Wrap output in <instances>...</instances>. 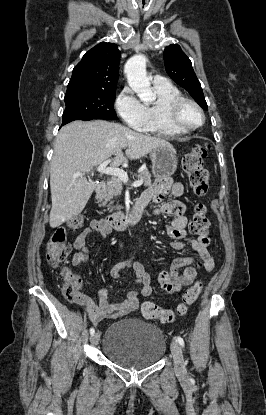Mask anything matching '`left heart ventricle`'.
Segmentation results:
<instances>
[{
	"instance_id": "left-heart-ventricle-1",
	"label": "left heart ventricle",
	"mask_w": 266,
	"mask_h": 415,
	"mask_svg": "<svg viewBox=\"0 0 266 415\" xmlns=\"http://www.w3.org/2000/svg\"><path fill=\"white\" fill-rule=\"evenodd\" d=\"M182 120L189 125H197L201 122L199 112L192 105H185L181 110Z\"/></svg>"
}]
</instances>
